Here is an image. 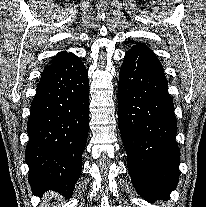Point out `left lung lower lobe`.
Instances as JSON below:
<instances>
[{"label":"left lung lower lobe","instance_id":"1","mask_svg":"<svg viewBox=\"0 0 206 207\" xmlns=\"http://www.w3.org/2000/svg\"><path fill=\"white\" fill-rule=\"evenodd\" d=\"M118 114L134 187L145 200L168 199L179 179L177 123L164 70L145 46L134 45L125 54Z\"/></svg>","mask_w":206,"mask_h":207}]
</instances>
